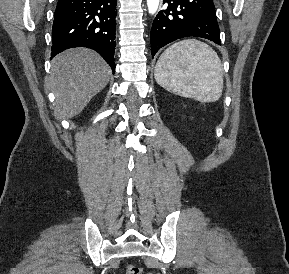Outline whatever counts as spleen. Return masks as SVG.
Here are the masks:
<instances>
[{"mask_svg": "<svg viewBox=\"0 0 289 274\" xmlns=\"http://www.w3.org/2000/svg\"><path fill=\"white\" fill-rule=\"evenodd\" d=\"M155 80L164 89L199 102H215L223 91V68L217 53L206 43L186 39L160 56Z\"/></svg>", "mask_w": 289, "mask_h": 274, "instance_id": "spleen-1", "label": "spleen"}]
</instances>
